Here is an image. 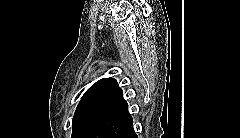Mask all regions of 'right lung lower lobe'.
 Masks as SVG:
<instances>
[{
  "mask_svg": "<svg viewBox=\"0 0 240 138\" xmlns=\"http://www.w3.org/2000/svg\"><path fill=\"white\" fill-rule=\"evenodd\" d=\"M86 138H137L128 106L109 115Z\"/></svg>",
  "mask_w": 240,
  "mask_h": 138,
  "instance_id": "1",
  "label": "right lung lower lobe"
}]
</instances>
